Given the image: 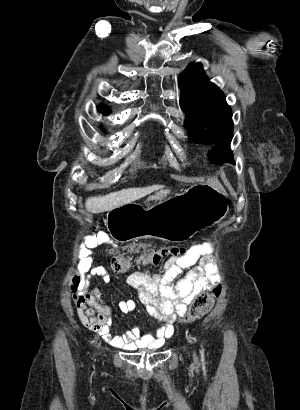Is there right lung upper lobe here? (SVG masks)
<instances>
[{"mask_svg": "<svg viewBox=\"0 0 300 410\" xmlns=\"http://www.w3.org/2000/svg\"><path fill=\"white\" fill-rule=\"evenodd\" d=\"M99 110L103 113V114H107L110 112V108L104 104L100 105Z\"/></svg>", "mask_w": 300, "mask_h": 410, "instance_id": "right-lung-upper-lobe-1", "label": "right lung upper lobe"}]
</instances>
